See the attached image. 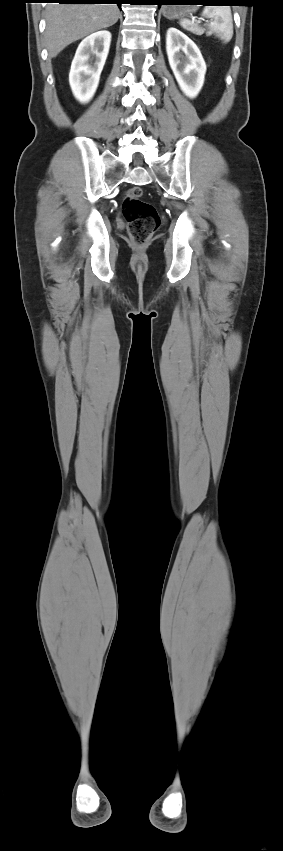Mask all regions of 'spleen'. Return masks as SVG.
<instances>
[{"label": "spleen", "instance_id": "3e777b00", "mask_svg": "<svg viewBox=\"0 0 283 851\" xmlns=\"http://www.w3.org/2000/svg\"><path fill=\"white\" fill-rule=\"evenodd\" d=\"M202 16L212 19L208 29L215 33L225 43L229 42L233 36V19L230 7H205ZM181 27L188 31L197 32L199 26L192 23L188 19L180 21Z\"/></svg>", "mask_w": 283, "mask_h": 851}]
</instances>
